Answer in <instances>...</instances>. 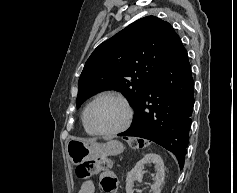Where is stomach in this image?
Masks as SVG:
<instances>
[{
    "mask_svg": "<svg viewBox=\"0 0 237 193\" xmlns=\"http://www.w3.org/2000/svg\"><path fill=\"white\" fill-rule=\"evenodd\" d=\"M67 156L73 165L101 156H116L124 151L123 144L118 140H110L107 143L95 141H83L79 139L69 140L66 146Z\"/></svg>",
    "mask_w": 237,
    "mask_h": 193,
    "instance_id": "stomach-1",
    "label": "stomach"
}]
</instances>
